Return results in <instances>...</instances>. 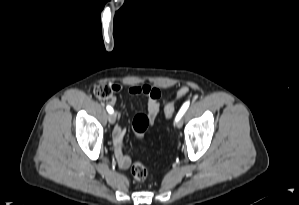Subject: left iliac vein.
<instances>
[{"label":"left iliac vein","instance_id":"left-iliac-vein-1","mask_svg":"<svg viewBox=\"0 0 299 205\" xmlns=\"http://www.w3.org/2000/svg\"><path fill=\"white\" fill-rule=\"evenodd\" d=\"M176 126H177L178 128H180V127L182 126V122H181L180 119H179L178 121H176Z\"/></svg>","mask_w":299,"mask_h":205}]
</instances>
